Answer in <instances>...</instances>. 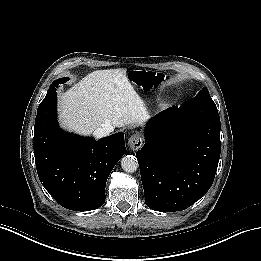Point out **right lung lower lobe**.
<instances>
[{"instance_id": "98d812e1", "label": "right lung lower lobe", "mask_w": 261, "mask_h": 261, "mask_svg": "<svg viewBox=\"0 0 261 261\" xmlns=\"http://www.w3.org/2000/svg\"><path fill=\"white\" fill-rule=\"evenodd\" d=\"M55 90L40 103L35 120L34 154L39 179L63 207L89 211L105 202V185L125 153L122 132L95 141L62 131Z\"/></svg>"}]
</instances>
